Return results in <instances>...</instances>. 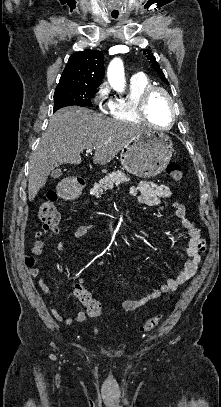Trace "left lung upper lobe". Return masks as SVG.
I'll use <instances>...</instances> for the list:
<instances>
[{"label":"left lung upper lobe","mask_w":221,"mask_h":407,"mask_svg":"<svg viewBox=\"0 0 221 407\" xmlns=\"http://www.w3.org/2000/svg\"><path fill=\"white\" fill-rule=\"evenodd\" d=\"M143 54L146 55L147 60L151 64V67L156 71V73L161 78V80L168 84V81L165 78V75H164L162 69L160 68L159 64L157 63V61H156L153 53L151 52V50L144 49Z\"/></svg>","instance_id":"5c2ea615"}]
</instances>
